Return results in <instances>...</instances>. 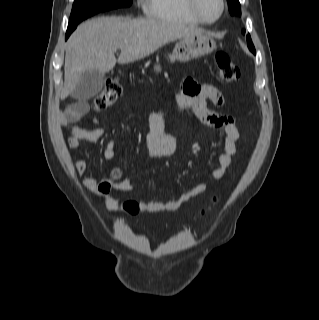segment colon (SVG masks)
<instances>
[{
	"label": "colon",
	"mask_w": 319,
	"mask_h": 320,
	"mask_svg": "<svg viewBox=\"0 0 319 320\" xmlns=\"http://www.w3.org/2000/svg\"><path fill=\"white\" fill-rule=\"evenodd\" d=\"M219 77L224 83H235L240 78V71L234 64L233 59L224 51H218L215 55ZM122 93V82L119 77L107 79L104 88L95 98L94 106L97 109L106 108L117 101ZM124 209L130 214L139 211L137 202L129 200L124 203Z\"/></svg>",
	"instance_id": "1"
}]
</instances>
